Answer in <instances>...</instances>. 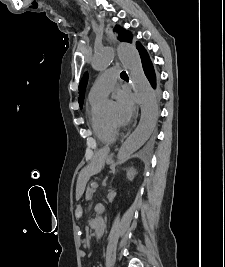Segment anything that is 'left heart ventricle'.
<instances>
[{
    "label": "left heart ventricle",
    "mask_w": 225,
    "mask_h": 267,
    "mask_svg": "<svg viewBox=\"0 0 225 267\" xmlns=\"http://www.w3.org/2000/svg\"><path fill=\"white\" fill-rule=\"evenodd\" d=\"M106 119L112 123H115V119H116V114L114 111L110 112L107 116Z\"/></svg>",
    "instance_id": "b2bd125f"
}]
</instances>
